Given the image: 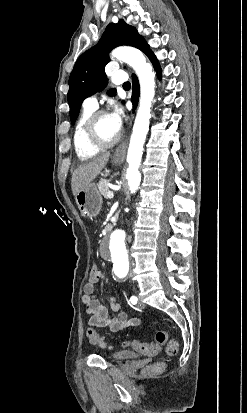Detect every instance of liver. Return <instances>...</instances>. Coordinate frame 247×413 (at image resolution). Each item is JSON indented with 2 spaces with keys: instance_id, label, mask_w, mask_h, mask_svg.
Listing matches in <instances>:
<instances>
[{
  "instance_id": "liver-1",
  "label": "liver",
  "mask_w": 247,
  "mask_h": 413,
  "mask_svg": "<svg viewBox=\"0 0 247 413\" xmlns=\"http://www.w3.org/2000/svg\"><path fill=\"white\" fill-rule=\"evenodd\" d=\"M109 156L110 152L107 150V152L98 154V156H94V158L87 160V162L78 164L77 168L72 172L71 178V188L75 196L79 190H82L84 186H87V184H90V182L96 178L97 174L101 172L106 162H108Z\"/></svg>"
}]
</instances>
